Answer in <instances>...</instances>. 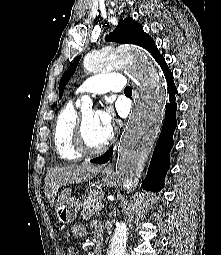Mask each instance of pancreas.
<instances>
[{
	"mask_svg": "<svg viewBox=\"0 0 221 255\" xmlns=\"http://www.w3.org/2000/svg\"><path fill=\"white\" fill-rule=\"evenodd\" d=\"M104 192L101 190L90 191L82 202L81 215L83 219L91 218L97 212L96 206L101 203Z\"/></svg>",
	"mask_w": 221,
	"mask_h": 255,
	"instance_id": "pancreas-1",
	"label": "pancreas"
}]
</instances>
